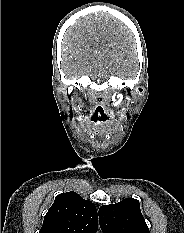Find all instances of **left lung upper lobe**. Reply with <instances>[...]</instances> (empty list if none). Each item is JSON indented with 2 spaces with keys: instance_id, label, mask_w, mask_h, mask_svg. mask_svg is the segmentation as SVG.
<instances>
[{
  "instance_id": "left-lung-upper-lobe-1",
  "label": "left lung upper lobe",
  "mask_w": 184,
  "mask_h": 233,
  "mask_svg": "<svg viewBox=\"0 0 184 233\" xmlns=\"http://www.w3.org/2000/svg\"><path fill=\"white\" fill-rule=\"evenodd\" d=\"M99 221L103 233H150L139 201L133 198L101 206Z\"/></svg>"
}]
</instances>
